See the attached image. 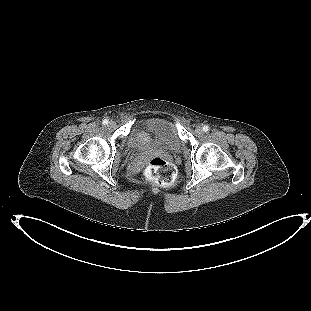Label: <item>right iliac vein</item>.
Instances as JSON below:
<instances>
[{
	"instance_id": "obj_1",
	"label": "right iliac vein",
	"mask_w": 311,
	"mask_h": 311,
	"mask_svg": "<svg viewBox=\"0 0 311 311\" xmlns=\"http://www.w3.org/2000/svg\"><path fill=\"white\" fill-rule=\"evenodd\" d=\"M109 127H110L111 129H114V128L116 127V122H115V121H110V122H109Z\"/></svg>"
}]
</instances>
